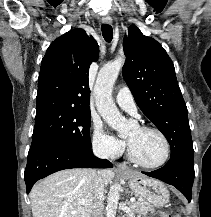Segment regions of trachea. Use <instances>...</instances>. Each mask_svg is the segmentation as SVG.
Wrapping results in <instances>:
<instances>
[{
  "mask_svg": "<svg viewBox=\"0 0 211 217\" xmlns=\"http://www.w3.org/2000/svg\"><path fill=\"white\" fill-rule=\"evenodd\" d=\"M101 30H102V35L105 41L111 42L112 37H113L112 27L109 24H102Z\"/></svg>",
  "mask_w": 211,
  "mask_h": 217,
  "instance_id": "3493384b",
  "label": "trachea"
}]
</instances>
